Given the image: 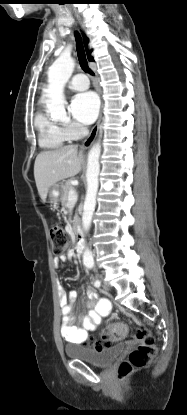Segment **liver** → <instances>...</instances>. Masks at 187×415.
Returning a JSON list of instances; mask_svg holds the SVG:
<instances>
[{
  "label": "liver",
  "instance_id": "liver-1",
  "mask_svg": "<svg viewBox=\"0 0 187 415\" xmlns=\"http://www.w3.org/2000/svg\"><path fill=\"white\" fill-rule=\"evenodd\" d=\"M83 152L75 145L38 154L34 163V178L42 202L46 201L49 188L58 181L75 176L82 167Z\"/></svg>",
  "mask_w": 187,
  "mask_h": 415
}]
</instances>
